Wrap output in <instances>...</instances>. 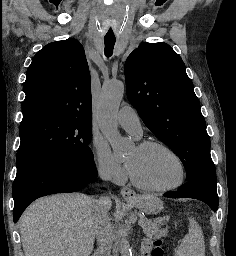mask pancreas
I'll return each mask as SVG.
<instances>
[{
    "label": "pancreas",
    "mask_w": 236,
    "mask_h": 256,
    "mask_svg": "<svg viewBox=\"0 0 236 256\" xmlns=\"http://www.w3.org/2000/svg\"><path fill=\"white\" fill-rule=\"evenodd\" d=\"M143 226V232L147 238H160L166 235L165 231H161L160 224H155L153 220H143Z\"/></svg>",
    "instance_id": "obj_1"
}]
</instances>
